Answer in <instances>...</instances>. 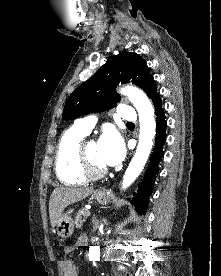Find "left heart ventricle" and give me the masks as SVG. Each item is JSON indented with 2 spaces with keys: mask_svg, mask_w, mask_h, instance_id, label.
<instances>
[{
  "mask_svg": "<svg viewBox=\"0 0 221 276\" xmlns=\"http://www.w3.org/2000/svg\"><path fill=\"white\" fill-rule=\"evenodd\" d=\"M86 151L90 161L95 166V168L97 169L106 168V165L99 158L97 143L90 141L86 146Z\"/></svg>",
  "mask_w": 221,
  "mask_h": 276,
  "instance_id": "obj_1",
  "label": "left heart ventricle"
}]
</instances>
